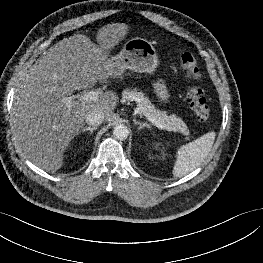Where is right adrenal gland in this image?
<instances>
[{
  "label": "right adrenal gland",
  "instance_id": "2a0ac1e0",
  "mask_svg": "<svg viewBox=\"0 0 263 263\" xmlns=\"http://www.w3.org/2000/svg\"><path fill=\"white\" fill-rule=\"evenodd\" d=\"M96 129H97V127H85V128H83V129L81 130V132L84 133V132L89 131L90 134L92 135L93 131L96 130Z\"/></svg>",
  "mask_w": 263,
  "mask_h": 263
}]
</instances>
